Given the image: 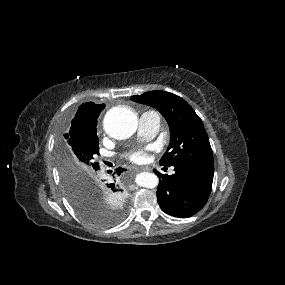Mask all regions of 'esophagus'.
Wrapping results in <instances>:
<instances>
[{
    "instance_id": "34e87169",
    "label": "esophagus",
    "mask_w": 285,
    "mask_h": 285,
    "mask_svg": "<svg viewBox=\"0 0 285 285\" xmlns=\"http://www.w3.org/2000/svg\"><path fill=\"white\" fill-rule=\"evenodd\" d=\"M143 171H151V168L148 166L141 167Z\"/></svg>"
}]
</instances>
